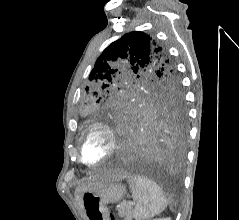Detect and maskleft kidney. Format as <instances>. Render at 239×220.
<instances>
[{"mask_svg": "<svg viewBox=\"0 0 239 220\" xmlns=\"http://www.w3.org/2000/svg\"><path fill=\"white\" fill-rule=\"evenodd\" d=\"M153 220H171L170 218H159V219H153Z\"/></svg>", "mask_w": 239, "mask_h": 220, "instance_id": "5707ae66", "label": "left kidney"}]
</instances>
